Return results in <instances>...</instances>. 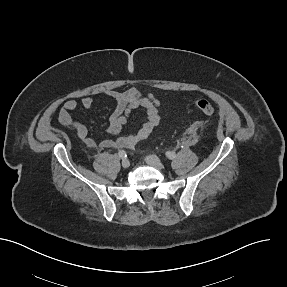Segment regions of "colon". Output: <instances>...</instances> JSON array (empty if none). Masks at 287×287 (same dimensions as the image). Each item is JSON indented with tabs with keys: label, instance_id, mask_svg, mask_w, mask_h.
<instances>
[{
	"label": "colon",
	"instance_id": "1",
	"mask_svg": "<svg viewBox=\"0 0 287 287\" xmlns=\"http://www.w3.org/2000/svg\"><path fill=\"white\" fill-rule=\"evenodd\" d=\"M194 105L197 110L204 115H212L214 112L212 103L206 98H198L194 100Z\"/></svg>",
	"mask_w": 287,
	"mask_h": 287
}]
</instances>
